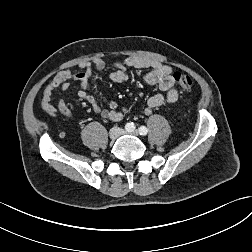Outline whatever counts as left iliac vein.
I'll list each match as a JSON object with an SVG mask.
<instances>
[{"instance_id":"left-iliac-vein-1","label":"left iliac vein","mask_w":252,"mask_h":252,"mask_svg":"<svg viewBox=\"0 0 252 252\" xmlns=\"http://www.w3.org/2000/svg\"><path fill=\"white\" fill-rule=\"evenodd\" d=\"M124 133H126V132H124ZM131 134H133V135H138L139 134V132H138V130H133V131H131Z\"/></svg>"}]
</instances>
